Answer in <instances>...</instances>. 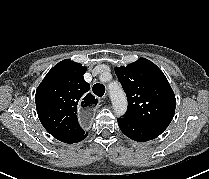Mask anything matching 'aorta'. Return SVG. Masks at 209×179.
<instances>
[{"mask_svg": "<svg viewBox=\"0 0 209 179\" xmlns=\"http://www.w3.org/2000/svg\"><path fill=\"white\" fill-rule=\"evenodd\" d=\"M109 93L115 113L122 116L127 110V98L124 91L117 85L115 88H111Z\"/></svg>", "mask_w": 209, "mask_h": 179, "instance_id": "obj_1", "label": "aorta"}]
</instances>
